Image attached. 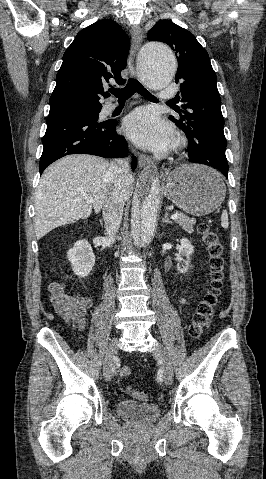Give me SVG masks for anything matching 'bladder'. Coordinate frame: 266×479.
Wrapping results in <instances>:
<instances>
[{
  "instance_id": "31cf9c89",
  "label": "bladder",
  "mask_w": 266,
  "mask_h": 479,
  "mask_svg": "<svg viewBox=\"0 0 266 479\" xmlns=\"http://www.w3.org/2000/svg\"><path fill=\"white\" fill-rule=\"evenodd\" d=\"M118 415L135 424H150L160 416V408L149 403H139L132 400H122L116 403Z\"/></svg>"
}]
</instances>
